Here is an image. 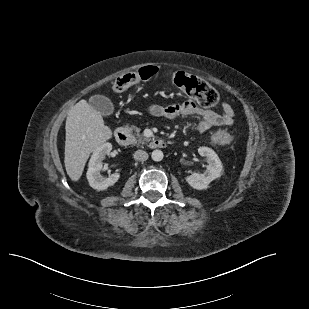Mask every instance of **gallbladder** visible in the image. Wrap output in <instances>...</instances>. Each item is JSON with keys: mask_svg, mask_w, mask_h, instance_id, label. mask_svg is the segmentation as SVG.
<instances>
[{"mask_svg": "<svg viewBox=\"0 0 309 309\" xmlns=\"http://www.w3.org/2000/svg\"><path fill=\"white\" fill-rule=\"evenodd\" d=\"M89 104L100 114L109 116L114 112V106L111 100L103 95H94L90 97Z\"/></svg>", "mask_w": 309, "mask_h": 309, "instance_id": "bac80fb5", "label": "gallbladder"}]
</instances>
